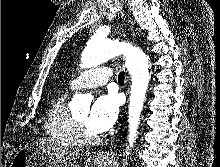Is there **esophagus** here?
<instances>
[{"instance_id":"1","label":"esophagus","mask_w":220,"mask_h":167,"mask_svg":"<svg viewBox=\"0 0 220 167\" xmlns=\"http://www.w3.org/2000/svg\"><path fill=\"white\" fill-rule=\"evenodd\" d=\"M131 35L134 36V27H133V26H131ZM97 158H98V159H102V158H104V155H103V154H99V155L97 156Z\"/></svg>"}]
</instances>
